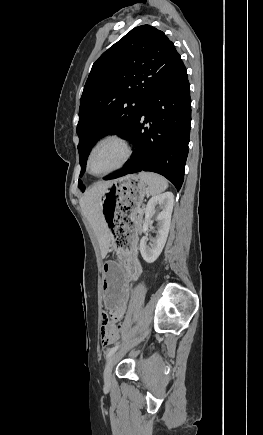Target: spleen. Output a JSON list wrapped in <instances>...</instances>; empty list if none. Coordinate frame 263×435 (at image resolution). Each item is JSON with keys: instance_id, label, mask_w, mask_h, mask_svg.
Here are the masks:
<instances>
[{"instance_id": "spleen-1", "label": "spleen", "mask_w": 263, "mask_h": 435, "mask_svg": "<svg viewBox=\"0 0 263 435\" xmlns=\"http://www.w3.org/2000/svg\"><path fill=\"white\" fill-rule=\"evenodd\" d=\"M138 177L148 186V190L152 195L159 194L168 188L167 180L158 174L152 172H140Z\"/></svg>"}]
</instances>
